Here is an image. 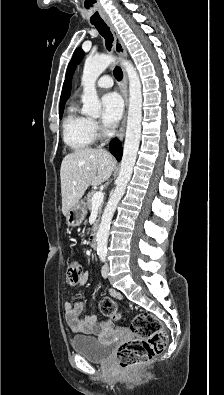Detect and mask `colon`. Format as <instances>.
Here are the masks:
<instances>
[{
    "mask_svg": "<svg viewBox=\"0 0 224 395\" xmlns=\"http://www.w3.org/2000/svg\"><path fill=\"white\" fill-rule=\"evenodd\" d=\"M66 274L71 283H77L82 275L81 265L76 261L70 262ZM100 310L110 318L122 319L121 311L109 298L100 301ZM131 330L135 337L121 345L117 351V361L124 370L139 368L160 355L168 341L162 323L149 313L135 316L131 323Z\"/></svg>",
    "mask_w": 224,
    "mask_h": 395,
    "instance_id": "obj_1",
    "label": "colon"
}]
</instances>
